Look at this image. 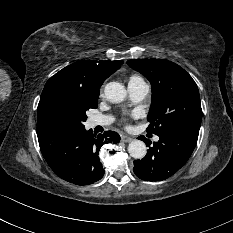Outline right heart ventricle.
<instances>
[{"label": "right heart ventricle", "instance_id": "e07e8e85", "mask_svg": "<svg viewBox=\"0 0 233 233\" xmlns=\"http://www.w3.org/2000/svg\"><path fill=\"white\" fill-rule=\"evenodd\" d=\"M140 82H144L142 77H140L137 74H133L129 77V83H140Z\"/></svg>", "mask_w": 233, "mask_h": 233}]
</instances>
